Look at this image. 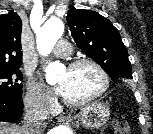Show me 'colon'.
<instances>
[{"label":"colon","mask_w":153,"mask_h":134,"mask_svg":"<svg viewBox=\"0 0 153 134\" xmlns=\"http://www.w3.org/2000/svg\"><path fill=\"white\" fill-rule=\"evenodd\" d=\"M101 134H128V126L124 119H119L118 121L107 125Z\"/></svg>","instance_id":"colon-1"}]
</instances>
